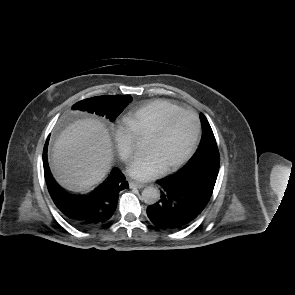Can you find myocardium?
Instances as JSON below:
<instances>
[{
    "label": "myocardium",
    "mask_w": 295,
    "mask_h": 295,
    "mask_svg": "<svg viewBox=\"0 0 295 295\" xmlns=\"http://www.w3.org/2000/svg\"><path fill=\"white\" fill-rule=\"evenodd\" d=\"M182 114H187V115H190V116L193 117L194 122H195L194 137H193V140H192L191 145H190L189 149L187 150V152L180 159H178L177 161L165 166L163 168L164 172H169V171H172V170H175V169L179 168L180 166L185 164L192 157V155L194 154V152H195V150L197 148L199 139H200V135H201V123H200L199 116L197 115L196 112H194L192 110L180 109L178 111H175V112L167 115L159 123V125L155 128V130L151 134H149V136H148V139H153V140L160 138L164 134L169 122L173 118H175L176 116L182 115Z\"/></svg>",
    "instance_id": "myocardium-1"
}]
</instances>
